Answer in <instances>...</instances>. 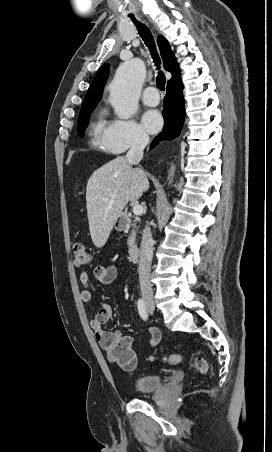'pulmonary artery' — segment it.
I'll use <instances>...</instances> for the list:
<instances>
[{
    "mask_svg": "<svg viewBox=\"0 0 272 452\" xmlns=\"http://www.w3.org/2000/svg\"><path fill=\"white\" fill-rule=\"evenodd\" d=\"M142 101L148 106H156L159 101V95L155 87L148 86L142 94Z\"/></svg>",
    "mask_w": 272,
    "mask_h": 452,
    "instance_id": "obj_1",
    "label": "pulmonary artery"
}]
</instances>
